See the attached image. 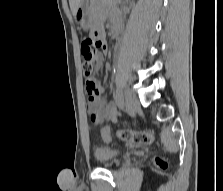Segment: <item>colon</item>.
I'll return each mask as SVG.
<instances>
[{
  "mask_svg": "<svg viewBox=\"0 0 223 191\" xmlns=\"http://www.w3.org/2000/svg\"><path fill=\"white\" fill-rule=\"evenodd\" d=\"M100 48L101 42L93 37L84 39L81 44V54L83 57L82 71L84 76L88 79V85L92 89L95 88V84L91 79L95 68L96 57ZM117 136L125 142L138 145L150 144L154 139V133L151 130L121 129L117 131ZM102 139L104 142H109L111 140V130L108 127L103 128ZM155 164L161 169L167 167V162L160 157L155 159Z\"/></svg>",
  "mask_w": 223,
  "mask_h": 191,
  "instance_id": "5ec220e1",
  "label": "colon"
}]
</instances>
